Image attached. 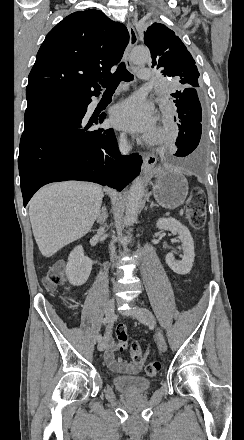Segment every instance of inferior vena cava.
I'll return each mask as SVG.
<instances>
[{"instance_id": "inferior-vena-cava-1", "label": "inferior vena cava", "mask_w": 244, "mask_h": 440, "mask_svg": "<svg viewBox=\"0 0 244 440\" xmlns=\"http://www.w3.org/2000/svg\"><path fill=\"white\" fill-rule=\"evenodd\" d=\"M119 150H120V152H122V154H128V152L130 150V146H128V144L126 142L125 134H121V136H120ZM110 250H111L110 254L113 258L114 254H115V248H114L113 244H111Z\"/></svg>"}]
</instances>
